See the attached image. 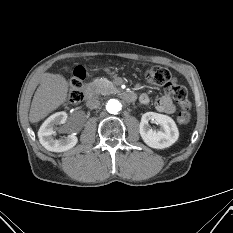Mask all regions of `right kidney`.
<instances>
[{
	"label": "right kidney",
	"mask_w": 233,
	"mask_h": 233,
	"mask_svg": "<svg viewBox=\"0 0 233 233\" xmlns=\"http://www.w3.org/2000/svg\"><path fill=\"white\" fill-rule=\"evenodd\" d=\"M67 113L64 111L57 112L48 117L38 131V137L41 145L52 152H64L73 148L78 139L74 134L55 139L57 125L64 124L67 120Z\"/></svg>",
	"instance_id": "right-kidney-1"
}]
</instances>
